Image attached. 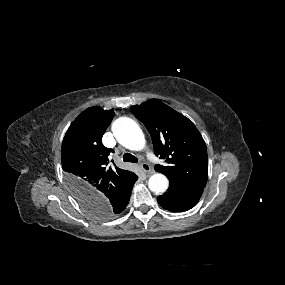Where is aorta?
<instances>
[{
	"instance_id": "aorta-1",
	"label": "aorta",
	"mask_w": 285,
	"mask_h": 285,
	"mask_svg": "<svg viewBox=\"0 0 285 285\" xmlns=\"http://www.w3.org/2000/svg\"><path fill=\"white\" fill-rule=\"evenodd\" d=\"M112 131L117 141L129 150L140 151L146 145L141 128L131 118H118L113 123ZM168 185L169 181L167 177L161 173L153 174L148 181L149 189L156 194L164 193Z\"/></svg>"
}]
</instances>
